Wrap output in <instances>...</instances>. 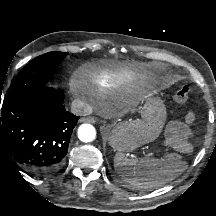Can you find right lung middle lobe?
Returning <instances> with one entry per match:
<instances>
[{"label": "right lung middle lobe", "instance_id": "right-lung-middle-lobe-1", "mask_svg": "<svg viewBox=\"0 0 216 216\" xmlns=\"http://www.w3.org/2000/svg\"><path fill=\"white\" fill-rule=\"evenodd\" d=\"M67 55L65 52H49L34 58L15 77L3 105L43 87L53 76L60 62ZM1 103V96H0Z\"/></svg>", "mask_w": 216, "mask_h": 216}]
</instances>
